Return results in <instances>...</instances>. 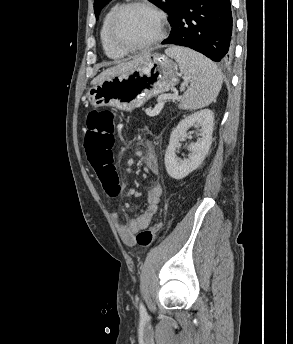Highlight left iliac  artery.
<instances>
[{
  "label": "left iliac artery",
  "instance_id": "44dca946",
  "mask_svg": "<svg viewBox=\"0 0 293 344\" xmlns=\"http://www.w3.org/2000/svg\"><path fill=\"white\" fill-rule=\"evenodd\" d=\"M140 315L142 317H146L147 316L146 309H145V307H144V305L142 303L140 304Z\"/></svg>",
  "mask_w": 293,
  "mask_h": 344
}]
</instances>
